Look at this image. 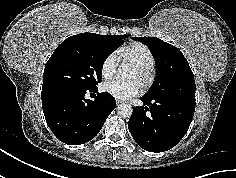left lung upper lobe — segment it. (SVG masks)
<instances>
[{"instance_id": "obj_1", "label": "left lung upper lobe", "mask_w": 236, "mask_h": 178, "mask_svg": "<svg viewBox=\"0 0 236 178\" xmlns=\"http://www.w3.org/2000/svg\"><path fill=\"white\" fill-rule=\"evenodd\" d=\"M132 39L148 46L156 62V82L145 97L195 102L194 75L181 51L156 37Z\"/></svg>"}]
</instances>
